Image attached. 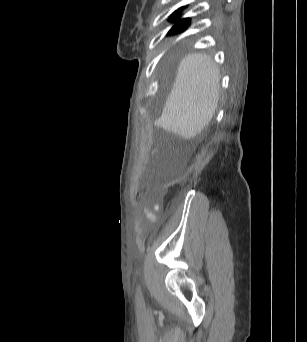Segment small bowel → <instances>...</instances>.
Returning <instances> with one entry per match:
<instances>
[{
  "instance_id": "1",
  "label": "small bowel",
  "mask_w": 307,
  "mask_h": 342,
  "mask_svg": "<svg viewBox=\"0 0 307 342\" xmlns=\"http://www.w3.org/2000/svg\"><path fill=\"white\" fill-rule=\"evenodd\" d=\"M156 209H159V205H156ZM144 212H145L146 216H147L150 220H152V221L155 220L154 214H153L149 209H145Z\"/></svg>"
}]
</instances>
